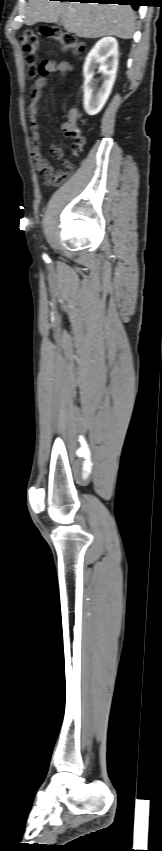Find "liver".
<instances>
[{
  "mask_svg": "<svg viewBox=\"0 0 162 851\" xmlns=\"http://www.w3.org/2000/svg\"><path fill=\"white\" fill-rule=\"evenodd\" d=\"M59 18L65 30L78 37L130 39L134 33L135 14L129 5L29 0L26 25L53 23Z\"/></svg>",
  "mask_w": 162,
  "mask_h": 851,
  "instance_id": "obj_1",
  "label": "liver"
}]
</instances>
